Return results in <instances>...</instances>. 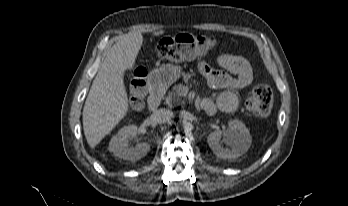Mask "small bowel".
I'll use <instances>...</instances> for the list:
<instances>
[{
  "mask_svg": "<svg viewBox=\"0 0 348 206\" xmlns=\"http://www.w3.org/2000/svg\"><path fill=\"white\" fill-rule=\"evenodd\" d=\"M218 68H212L206 62L199 63V70L209 87L222 89L216 102L204 98L201 106L208 115L214 114L216 107L225 112L235 110L239 104V97L235 89L248 86L253 79L252 67L247 59L232 54H222L217 58Z\"/></svg>",
  "mask_w": 348,
  "mask_h": 206,
  "instance_id": "small-bowel-1",
  "label": "small bowel"
}]
</instances>
